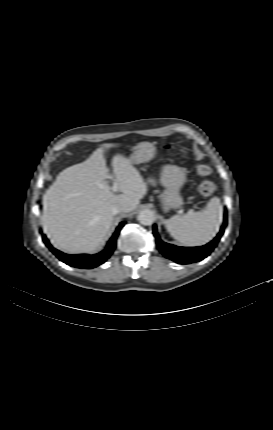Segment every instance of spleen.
<instances>
[{
    "label": "spleen",
    "instance_id": "spleen-1",
    "mask_svg": "<svg viewBox=\"0 0 273 430\" xmlns=\"http://www.w3.org/2000/svg\"><path fill=\"white\" fill-rule=\"evenodd\" d=\"M222 210L220 199L214 197L204 210L175 215L166 220L165 226L170 235L184 245H204L216 235L220 227Z\"/></svg>",
    "mask_w": 273,
    "mask_h": 430
}]
</instances>
